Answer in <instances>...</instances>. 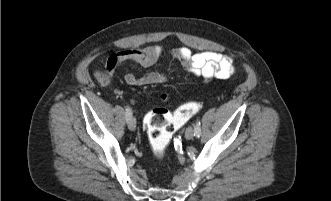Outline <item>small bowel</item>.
I'll return each mask as SVG.
<instances>
[{
    "instance_id": "1",
    "label": "small bowel",
    "mask_w": 331,
    "mask_h": 201,
    "mask_svg": "<svg viewBox=\"0 0 331 201\" xmlns=\"http://www.w3.org/2000/svg\"><path fill=\"white\" fill-rule=\"evenodd\" d=\"M162 55L159 46H147L124 50L113 56L107 68L109 71L118 69L127 61L135 62L143 67H150L155 64ZM172 58L180 61L186 72L194 77L202 78L204 81L213 79H227L234 73L232 59L220 52L201 51L193 53L186 47H181L170 51ZM125 82L130 86H145L161 83L166 80L163 72H148L140 77L133 73L124 76ZM164 99L167 97L164 95Z\"/></svg>"
}]
</instances>
